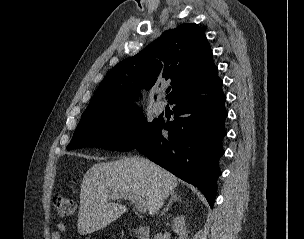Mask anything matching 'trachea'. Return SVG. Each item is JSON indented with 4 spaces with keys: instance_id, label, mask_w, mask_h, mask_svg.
Segmentation results:
<instances>
[{
    "instance_id": "trachea-1",
    "label": "trachea",
    "mask_w": 304,
    "mask_h": 239,
    "mask_svg": "<svg viewBox=\"0 0 304 239\" xmlns=\"http://www.w3.org/2000/svg\"><path fill=\"white\" fill-rule=\"evenodd\" d=\"M170 91V88H168L167 90H166V93H168Z\"/></svg>"
}]
</instances>
